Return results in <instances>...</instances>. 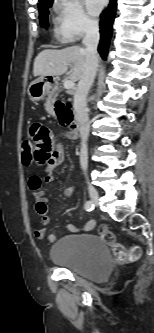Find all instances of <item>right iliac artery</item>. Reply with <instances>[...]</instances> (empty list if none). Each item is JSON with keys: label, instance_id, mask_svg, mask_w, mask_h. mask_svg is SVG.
I'll return each mask as SVG.
<instances>
[{"label": "right iliac artery", "instance_id": "1", "mask_svg": "<svg viewBox=\"0 0 154 333\" xmlns=\"http://www.w3.org/2000/svg\"><path fill=\"white\" fill-rule=\"evenodd\" d=\"M86 211H92L94 209V204L92 201H87L84 205Z\"/></svg>", "mask_w": 154, "mask_h": 333}]
</instances>
